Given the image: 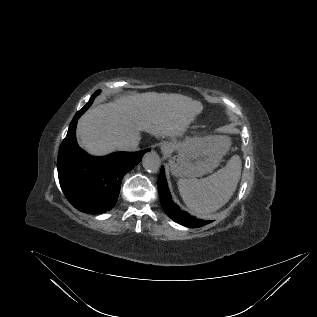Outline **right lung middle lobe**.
I'll use <instances>...</instances> for the list:
<instances>
[{
	"label": "right lung middle lobe",
	"mask_w": 317,
	"mask_h": 317,
	"mask_svg": "<svg viewBox=\"0 0 317 317\" xmlns=\"http://www.w3.org/2000/svg\"><path fill=\"white\" fill-rule=\"evenodd\" d=\"M98 93H99V91H97L96 93H94V95L91 97V99L89 100V102H88L80 111H78L77 113L85 112V111L91 106L94 97H95Z\"/></svg>",
	"instance_id": "dd1d6c3e"
}]
</instances>
